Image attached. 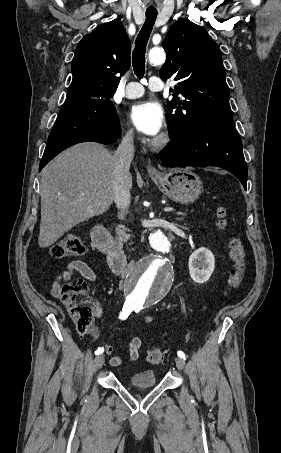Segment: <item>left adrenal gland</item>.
I'll list each match as a JSON object with an SVG mask.
<instances>
[{
    "label": "left adrenal gland",
    "instance_id": "a2214340",
    "mask_svg": "<svg viewBox=\"0 0 281 453\" xmlns=\"http://www.w3.org/2000/svg\"><path fill=\"white\" fill-rule=\"evenodd\" d=\"M177 220H181V218H177Z\"/></svg>",
    "mask_w": 281,
    "mask_h": 453
}]
</instances>
